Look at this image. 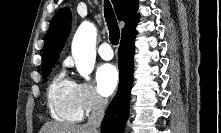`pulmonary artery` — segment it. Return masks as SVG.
Segmentation results:
<instances>
[{"label":"pulmonary artery","instance_id":"1","mask_svg":"<svg viewBox=\"0 0 221 133\" xmlns=\"http://www.w3.org/2000/svg\"><path fill=\"white\" fill-rule=\"evenodd\" d=\"M98 54L103 60H111L114 56L111 45L107 42H104L99 46Z\"/></svg>","mask_w":221,"mask_h":133}]
</instances>
